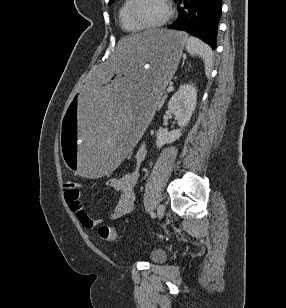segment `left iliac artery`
<instances>
[{"label": "left iliac artery", "instance_id": "obj_1", "mask_svg": "<svg viewBox=\"0 0 286 308\" xmlns=\"http://www.w3.org/2000/svg\"><path fill=\"white\" fill-rule=\"evenodd\" d=\"M150 214H151V217H152V218L155 217V213H154V212H151Z\"/></svg>", "mask_w": 286, "mask_h": 308}]
</instances>
